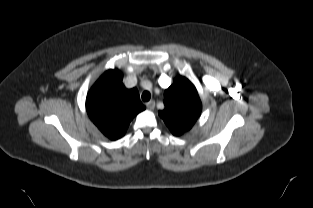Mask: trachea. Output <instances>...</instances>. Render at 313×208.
Listing matches in <instances>:
<instances>
[{"label": "trachea", "instance_id": "3493384b", "mask_svg": "<svg viewBox=\"0 0 313 208\" xmlns=\"http://www.w3.org/2000/svg\"><path fill=\"white\" fill-rule=\"evenodd\" d=\"M150 98H151L150 92L144 91V92L142 93V100H143L144 102L149 101Z\"/></svg>", "mask_w": 313, "mask_h": 208}]
</instances>
